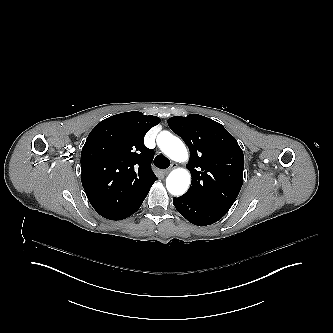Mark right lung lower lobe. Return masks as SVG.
<instances>
[{
    "label": "right lung lower lobe",
    "instance_id": "obj_1",
    "mask_svg": "<svg viewBox=\"0 0 333 333\" xmlns=\"http://www.w3.org/2000/svg\"><path fill=\"white\" fill-rule=\"evenodd\" d=\"M82 185L93 208L110 220H122L135 213L158 180L154 173L117 177L102 164L82 170Z\"/></svg>",
    "mask_w": 333,
    "mask_h": 333
}]
</instances>
